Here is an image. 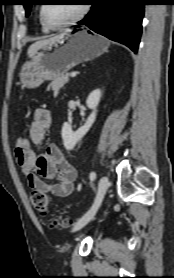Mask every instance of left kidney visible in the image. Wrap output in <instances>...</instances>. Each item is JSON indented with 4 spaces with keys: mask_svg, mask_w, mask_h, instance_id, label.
Here are the masks:
<instances>
[{
    "mask_svg": "<svg viewBox=\"0 0 174 278\" xmlns=\"http://www.w3.org/2000/svg\"><path fill=\"white\" fill-rule=\"evenodd\" d=\"M102 92L100 89L92 91L87 97V107L92 110V113L87 118L85 124L81 126L76 132H73L72 127L69 123L65 122L62 126V140L64 147L67 150H73L78 142L87 134L96 120L97 107L101 99Z\"/></svg>",
    "mask_w": 174,
    "mask_h": 278,
    "instance_id": "left-kidney-1",
    "label": "left kidney"
}]
</instances>
